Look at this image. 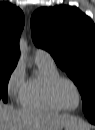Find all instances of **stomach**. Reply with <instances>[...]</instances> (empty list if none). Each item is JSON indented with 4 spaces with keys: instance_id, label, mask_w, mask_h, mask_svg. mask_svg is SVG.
Returning a JSON list of instances; mask_svg holds the SVG:
<instances>
[{
    "instance_id": "0dacf381",
    "label": "stomach",
    "mask_w": 95,
    "mask_h": 130,
    "mask_svg": "<svg viewBox=\"0 0 95 130\" xmlns=\"http://www.w3.org/2000/svg\"><path fill=\"white\" fill-rule=\"evenodd\" d=\"M82 127L83 125L80 123H77V124L72 123V124L64 126L62 130H84Z\"/></svg>"
}]
</instances>
